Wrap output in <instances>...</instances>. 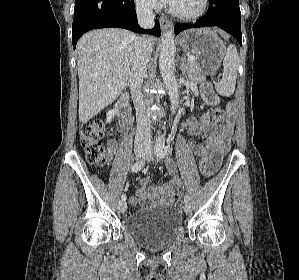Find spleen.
Masks as SVG:
<instances>
[{"instance_id": "spleen-1", "label": "spleen", "mask_w": 299, "mask_h": 280, "mask_svg": "<svg viewBox=\"0 0 299 280\" xmlns=\"http://www.w3.org/2000/svg\"><path fill=\"white\" fill-rule=\"evenodd\" d=\"M238 63L237 49L231 44L228 46L223 60V77L215 84V89L220 95L230 96L234 93Z\"/></svg>"}]
</instances>
